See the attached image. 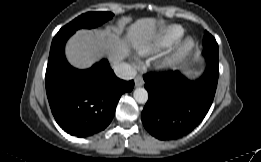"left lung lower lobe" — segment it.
<instances>
[{"instance_id": "obj_1", "label": "left lung lower lobe", "mask_w": 261, "mask_h": 162, "mask_svg": "<svg viewBox=\"0 0 261 162\" xmlns=\"http://www.w3.org/2000/svg\"><path fill=\"white\" fill-rule=\"evenodd\" d=\"M207 67L199 80L180 72L144 75L149 99L141 118L146 130L159 140L179 139L197 127L209 111L219 77L218 49L204 46Z\"/></svg>"}]
</instances>
